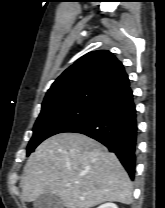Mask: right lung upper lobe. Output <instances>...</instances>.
<instances>
[{
    "mask_svg": "<svg viewBox=\"0 0 165 208\" xmlns=\"http://www.w3.org/2000/svg\"><path fill=\"white\" fill-rule=\"evenodd\" d=\"M128 86V75L111 52L92 51L79 58L55 80L42 107L62 103L96 104Z\"/></svg>",
    "mask_w": 165,
    "mask_h": 208,
    "instance_id": "1",
    "label": "right lung upper lobe"
}]
</instances>
